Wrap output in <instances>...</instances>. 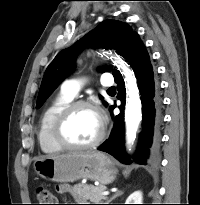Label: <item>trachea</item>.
I'll list each match as a JSON object with an SVG mask.
<instances>
[{"instance_id": "trachea-1", "label": "trachea", "mask_w": 200, "mask_h": 205, "mask_svg": "<svg viewBox=\"0 0 200 205\" xmlns=\"http://www.w3.org/2000/svg\"><path fill=\"white\" fill-rule=\"evenodd\" d=\"M112 90H114V87H110V88L108 89V91H112Z\"/></svg>"}]
</instances>
